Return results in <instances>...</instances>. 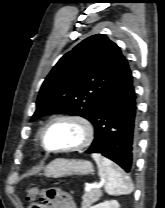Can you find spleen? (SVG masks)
Returning <instances> with one entry per match:
<instances>
[{"label":"spleen","mask_w":165,"mask_h":208,"mask_svg":"<svg viewBox=\"0 0 165 208\" xmlns=\"http://www.w3.org/2000/svg\"><path fill=\"white\" fill-rule=\"evenodd\" d=\"M99 169V176L104 181V190L109 195H127L133 191L130 179L122 169L99 153L92 154Z\"/></svg>","instance_id":"1"}]
</instances>
